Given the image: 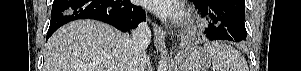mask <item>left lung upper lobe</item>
<instances>
[{
	"instance_id": "obj_1",
	"label": "left lung upper lobe",
	"mask_w": 301,
	"mask_h": 71,
	"mask_svg": "<svg viewBox=\"0 0 301 71\" xmlns=\"http://www.w3.org/2000/svg\"><path fill=\"white\" fill-rule=\"evenodd\" d=\"M192 1H200L201 2V1H204V0H192Z\"/></svg>"
}]
</instances>
